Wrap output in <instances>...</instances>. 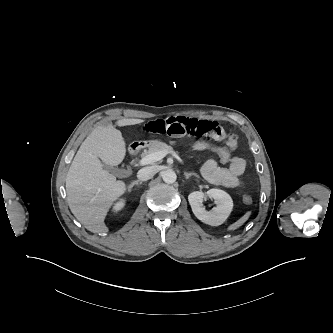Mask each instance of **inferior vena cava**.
<instances>
[{
	"label": "inferior vena cava",
	"mask_w": 333,
	"mask_h": 333,
	"mask_svg": "<svg viewBox=\"0 0 333 333\" xmlns=\"http://www.w3.org/2000/svg\"><path fill=\"white\" fill-rule=\"evenodd\" d=\"M157 173V170L155 167H144L140 169L137 173V177L140 181H147L151 179L155 174Z\"/></svg>",
	"instance_id": "obj_1"
}]
</instances>
